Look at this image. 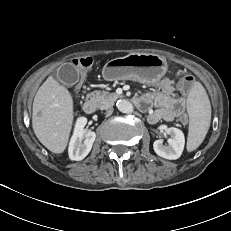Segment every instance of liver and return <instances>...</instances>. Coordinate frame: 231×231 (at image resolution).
Here are the masks:
<instances>
[{"mask_svg": "<svg viewBox=\"0 0 231 231\" xmlns=\"http://www.w3.org/2000/svg\"><path fill=\"white\" fill-rule=\"evenodd\" d=\"M73 119L70 92L49 76L33 101L32 127L36 137L48 150L60 154L67 147Z\"/></svg>", "mask_w": 231, "mask_h": 231, "instance_id": "6515ba94", "label": "liver"}]
</instances>
